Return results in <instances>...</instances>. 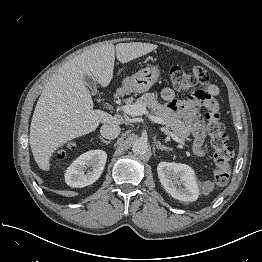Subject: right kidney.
Here are the masks:
<instances>
[{"label":"right kidney","instance_id":"right-kidney-1","mask_svg":"<svg viewBox=\"0 0 262 262\" xmlns=\"http://www.w3.org/2000/svg\"><path fill=\"white\" fill-rule=\"evenodd\" d=\"M106 160L107 154L103 150L85 152L68 167L65 173V182L75 188L93 184L103 172Z\"/></svg>","mask_w":262,"mask_h":262}]
</instances>
